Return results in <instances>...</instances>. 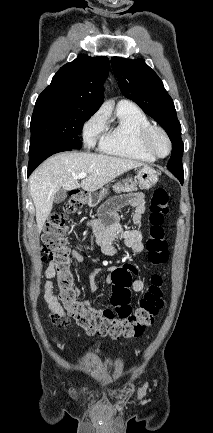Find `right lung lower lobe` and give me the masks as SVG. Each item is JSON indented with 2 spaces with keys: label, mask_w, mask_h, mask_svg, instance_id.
Returning <instances> with one entry per match:
<instances>
[{
  "label": "right lung lower lobe",
  "mask_w": 213,
  "mask_h": 433,
  "mask_svg": "<svg viewBox=\"0 0 213 433\" xmlns=\"http://www.w3.org/2000/svg\"><path fill=\"white\" fill-rule=\"evenodd\" d=\"M72 149L74 148L50 141L40 142L30 146L28 176L47 157L58 152L71 151Z\"/></svg>",
  "instance_id": "98d812e1"
}]
</instances>
